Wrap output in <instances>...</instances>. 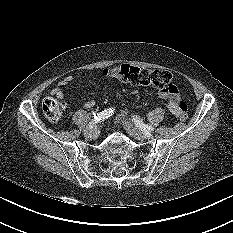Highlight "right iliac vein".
Wrapping results in <instances>:
<instances>
[{
    "label": "right iliac vein",
    "instance_id": "right-iliac-vein-1",
    "mask_svg": "<svg viewBox=\"0 0 233 233\" xmlns=\"http://www.w3.org/2000/svg\"><path fill=\"white\" fill-rule=\"evenodd\" d=\"M99 132V129L98 127L95 125V126H92V127H88L86 128L84 131H83V134L88 137V138H93L95 137Z\"/></svg>",
    "mask_w": 233,
    "mask_h": 233
}]
</instances>
